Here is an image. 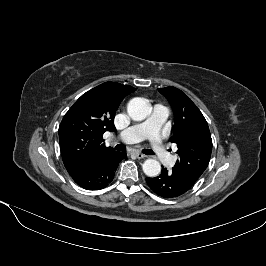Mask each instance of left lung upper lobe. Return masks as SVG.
Listing matches in <instances>:
<instances>
[{
	"instance_id": "left-lung-upper-lobe-1",
	"label": "left lung upper lobe",
	"mask_w": 266,
	"mask_h": 266,
	"mask_svg": "<svg viewBox=\"0 0 266 266\" xmlns=\"http://www.w3.org/2000/svg\"><path fill=\"white\" fill-rule=\"evenodd\" d=\"M169 101L174 113L173 136L179 158L172 173L189 186H193L208 166L212 152V139L208 124L197 106L178 88H159Z\"/></svg>"
}]
</instances>
